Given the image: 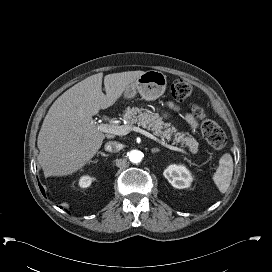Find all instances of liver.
<instances>
[{
  "label": "liver",
  "mask_w": 272,
  "mask_h": 272,
  "mask_svg": "<svg viewBox=\"0 0 272 272\" xmlns=\"http://www.w3.org/2000/svg\"><path fill=\"white\" fill-rule=\"evenodd\" d=\"M144 71L87 77L65 91L50 107L38 134V162L46 177L69 175L88 163L106 135L92 116L112 106Z\"/></svg>",
  "instance_id": "obj_1"
}]
</instances>
